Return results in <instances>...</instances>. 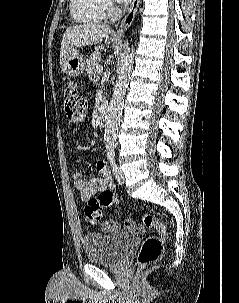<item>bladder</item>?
<instances>
[{
    "label": "bladder",
    "instance_id": "obj_1",
    "mask_svg": "<svg viewBox=\"0 0 239 303\" xmlns=\"http://www.w3.org/2000/svg\"><path fill=\"white\" fill-rule=\"evenodd\" d=\"M135 239L136 235L133 233H87L83 237V248L88 261L104 266H116Z\"/></svg>",
    "mask_w": 239,
    "mask_h": 303
}]
</instances>
